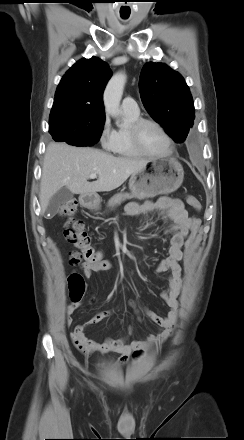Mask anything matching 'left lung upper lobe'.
<instances>
[{"mask_svg":"<svg viewBox=\"0 0 244 440\" xmlns=\"http://www.w3.org/2000/svg\"><path fill=\"white\" fill-rule=\"evenodd\" d=\"M144 107L176 142L187 137L194 120V105L183 77L162 63H147L139 81Z\"/></svg>","mask_w":244,"mask_h":440,"instance_id":"obj_1","label":"left lung upper lobe"}]
</instances>
